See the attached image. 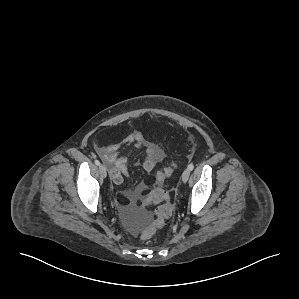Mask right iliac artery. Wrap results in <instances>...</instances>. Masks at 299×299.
<instances>
[{
    "instance_id": "1",
    "label": "right iliac artery",
    "mask_w": 299,
    "mask_h": 299,
    "mask_svg": "<svg viewBox=\"0 0 299 299\" xmlns=\"http://www.w3.org/2000/svg\"><path fill=\"white\" fill-rule=\"evenodd\" d=\"M95 164H96L97 166H100V161H99V160H95Z\"/></svg>"
}]
</instances>
